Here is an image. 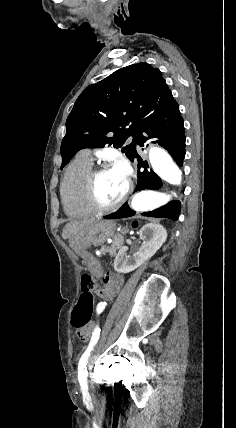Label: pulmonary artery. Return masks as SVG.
Returning <instances> with one entry per match:
<instances>
[{
    "label": "pulmonary artery",
    "mask_w": 236,
    "mask_h": 428,
    "mask_svg": "<svg viewBox=\"0 0 236 428\" xmlns=\"http://www.w3.org/2000/svg\"><path fill=\"white\" fill-rule=\"evenodd\" d=\"M129 139H130V140H132V139H133V137L131 136Z\"/></svg>",
    "instance_id": "pulmonary-artery-1"
}]
</instances>
